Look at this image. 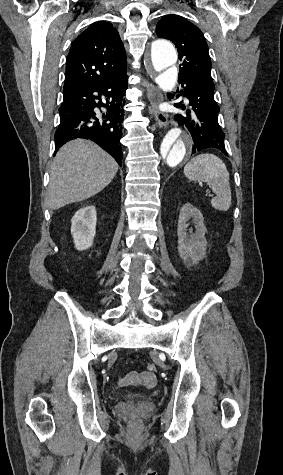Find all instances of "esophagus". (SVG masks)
<instances>
[{"label": "esophagus", "instance_id": "34e87169", "mask_svg": "<svg viewBox=\"0 0 283 475\" xmlns=\"http://www.w3.org/2000/svg\"><path fill=\"white\" fill-rule=\"evenodd\" d=\"M147 96L150 100L152 110L156 124L158 127H164L168 124V115L159 109V104L164 100L161 91L152 84L147 87Z\"/></svg>", "mask_w": 283, "mask_h": 475}]
</instances>
